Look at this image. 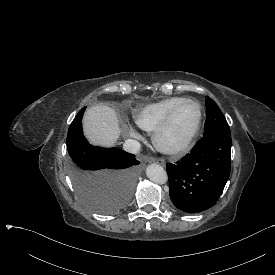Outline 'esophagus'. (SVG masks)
<instances>
[{
  "label": "esophagus",
  "mask_w": 275,
  "mask_h": 275,
  "mask_svg": "<svg viewBox=\"0 0 275 275\" xmlns=\"http://www.w3.org/2000/svg\"><path fill=\"white\" fill-rule=\"evenodd\" d=\"M148 161V160H147ZM155 162L161 166H165L166 162L164 159L162 158H159V159H156Z\"/></svg>",
  "instance_id": "1"
}]
</instances>
